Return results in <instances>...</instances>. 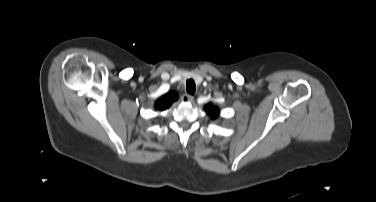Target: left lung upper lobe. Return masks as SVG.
I'll return each instance as SVG.
<instances>
[{"instance_id": "5c2ea615", "label": "left lung upper lobe", "mask_w": 376, "mask_h": 202, "mask_svg": "<svg viewBox=\"0 0 376 202\" xmlns=\"http://www.w3.org/2000/svg\"><path fill=\"white\" fill-rule=\"evenodd\" d=\"M205 111L210 115L212 119H215L218 117L219 114V108L212 106L211 104H208L205 106Z\"/></svg>"}]
</instances>
